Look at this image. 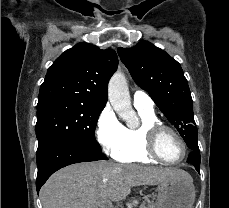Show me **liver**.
<instances>
[{
	"label": "liver",
	"mask_w": 229,
	"mask_h": 208,
	"mask_svg": "<svg viewBox=\"0 0 229 208\" xmlns=\"http://www.w3.org/2000/svg\"><path fill=\"white\" fill-rule=\"evenodd\" d=\"M177 168L82 162L55 172L40 190L43 208H114L125 200L132 186H157L165 180H190Z\"/></svg>",
	"instance_id": "1"
}]
</instances>
